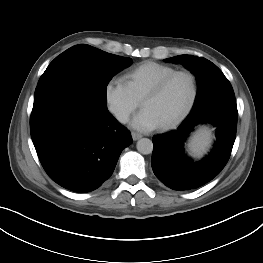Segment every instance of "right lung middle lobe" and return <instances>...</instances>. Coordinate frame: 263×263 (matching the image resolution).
I'll return each mask as SVG.
<instances>
[{
    "instance_id": "obj_1",
    "label": "right lung middle lobe",
    "mask_w": 263,
    "mask_h": 263,
    "mask_svg": "<svg viewBox=\"0 0 263 263\" xmlns=\"http://www.w3.org/2000/svg\"><path fill=\"white\" fill-rule=\"evenodd\" d=\"M130 64V58L86 44L75 45L49 64L36 87L34 103L63 93H76L107 108L106 86L116 73Z\"/></svg>"
}]
</instances>
